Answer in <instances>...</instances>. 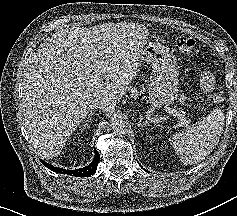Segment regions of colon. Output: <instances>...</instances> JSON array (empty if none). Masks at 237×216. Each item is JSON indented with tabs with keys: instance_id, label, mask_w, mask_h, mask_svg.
Instances as JSON below:
<instances>
[{
	"instance_id": "1",
	"label": "colon",
	"mask_w": 237,
	"mask_h": 216,
	"mask_svg": "<svg viewBox=\"0 0 237 216\" xmlns=\"http://www.w3.org/2000/svg\"><path fill=\"white\" fill-rule=\"evenodd\" d=\"M175 46L182 54H190L195 46V41L189 36H179L175 39ZM215 102L220 103L224 100V94L217 92L213 95Z\"/></svg>"
}]
</instances>
